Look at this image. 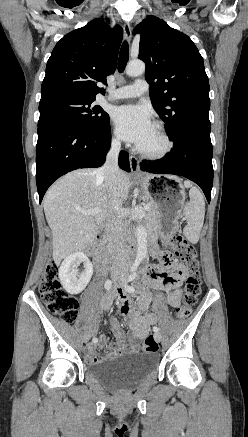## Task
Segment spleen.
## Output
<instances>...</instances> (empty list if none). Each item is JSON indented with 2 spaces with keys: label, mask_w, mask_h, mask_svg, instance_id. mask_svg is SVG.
<instances>
[{
  "label": "spleen",
  "mask_w": 248,
  "mask_h": 437,
  "mask_svg": "<svg viewBox=\"0 0 248 437\" xmlns=\"http://www.w3.org/2000/svg\"><path fill=\"white\" fill-rule=\"evenodd\" d=\"M184 186L190 188V201L187 202L183 209V215L186 220V226L183 229L184 235L191 243H197L205 216V202L202 193L191 182L185 181Z\"/></svg>",
  "instance_id": "obj_1"
}]
</instances>
